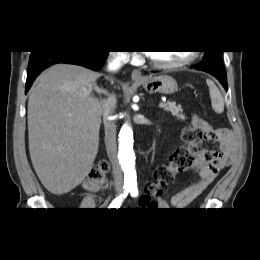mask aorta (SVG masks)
Masks as SVG:
<instances>
[{
  "instance_id": "aorta-1",
  "label": "aorta",
  "mask_w": 260,
  "mask_h": 260,
  "mask_svg": "<svg viewBox=\"0 0 260 260\" xmlns=\"http://www.w3.org/2000/svg\"><path fill=\"white\" fill-rule=\"evenodd\" d=\"M118 159L124 172L126 184L136 183L135 153L133 151V131L131 125L126 122L119 133Z\"/></svg>"
}]
</instances>
